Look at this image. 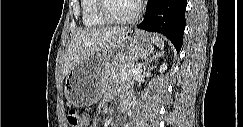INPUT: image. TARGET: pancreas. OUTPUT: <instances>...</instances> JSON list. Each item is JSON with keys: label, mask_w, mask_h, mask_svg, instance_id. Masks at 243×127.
<instances>
[{"label": "pancreas", "mask_w": 243, "mask_h": 127, "mask_svg": "<svg viewBox=\"0 0 243 127\" xmlns=\"http://www.w3.org/2000/svg\"><path fill=\"white\" fill-rule=\"evenodd\" d=\"M134 64L131 62H122L115 66L110 71V77L113 80H132L134 74L130 70L134 69Z\"/></svg>", "instance_id": "pancreas-1"}]
</instances>
